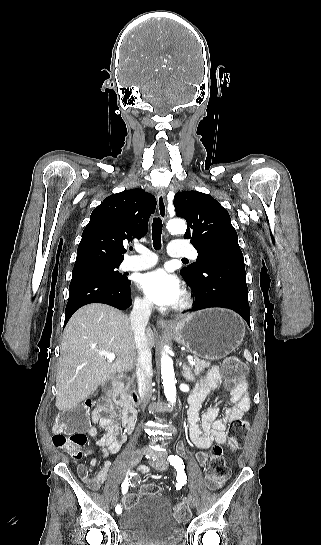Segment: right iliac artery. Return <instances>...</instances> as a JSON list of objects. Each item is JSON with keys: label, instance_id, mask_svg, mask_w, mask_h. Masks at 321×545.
Here are the masks:
<instances>
[{"label": "right iliac artery", "instance_id": "obj_1", "mask_svg": "<svg viewBox=\"0 0 321 545\" xmlns=\"http://www.w3.org/2000/svg\"><path fill=\"white\" fill-rule=\"evenodd\" d=\"M128 486H129V480H128V474H127L126 479L124 480V482L121 485L122 493L127 492ZM115 511H116V513H121L122 509H121V507L119 505H117L116 508H115Z\"/></svg>", "mask_w": 321, "mask_h": 545}]
</instances>
